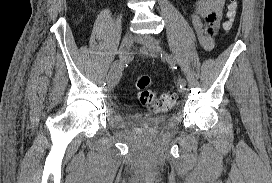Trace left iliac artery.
Returning <instances> with one entry per match:
<instances>
[{
  "label": "left iliac artery",
  "mask_w": 272,
  "mask_h": 183,
  "mask_svg": "<svg viewBox=\"0 0 272 183\" xmlns=\"http://www.w3.org/2000/svg\"><path fill=\"white\" fill-rule=\"evenodd\" d=\"M161 57H163L164 59L167 60V62L173 67L176 68V60L174 58L173 55L167 53V52H163V54H161ZM178 85L180 87V89L185 88L186 86V80L184 78H179L178 80Z\"/></svg>",
  "instance_id": "44dca946"
}]
</instances>
